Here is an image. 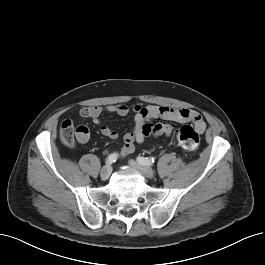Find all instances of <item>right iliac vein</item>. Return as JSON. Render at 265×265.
<instances>
[{
	"instance_id": "obj_1",
	"label": "right iliac vein",
	"mask_w": 265,
	"mask_h": 265,
	"mask_svg": "<svg viewBox=\"0 0 265 265\" xmlns=\"http://www.w3.org/2000/svg\"><path fill=\"white\" fill-rule=\"evenodd\" d=\"M112 172V167L110 165H105L100 171V177L102 180H107Z\"/></svg>"
}]
</instances>
